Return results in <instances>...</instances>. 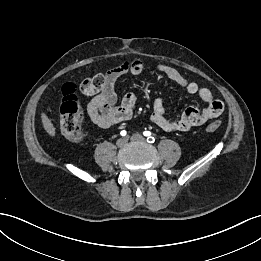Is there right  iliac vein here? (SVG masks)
I'll return each mask as SVG.
<instances>
[{
	"label": "right iliac vein",
	"instance_id": "63e3f726",
	"mask_svg": "<svg viewBox=\"0 0 261 261\" xmlns=\"http://www.w3.org/2000/svg\"><path fill=\"white\" fill-rule=\"evenodd\" d=\"M126 143H127V139L126 138H120L116 142L118 147H123Z\"/></svg>",
	"mask_w": 261,
	"mask_h": 261
}]
</instances>
